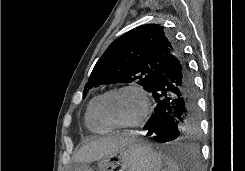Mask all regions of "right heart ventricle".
<instances>
[{
	"mask_svg": "<svg viewBox=\"0 0 245 171\" xmlns=\"http://www.w3.org/2000/svg\"><path fill=\"white\" fill-rule=\"evenodd\" d=\"M100 95L93 97L85 113V125L91 132L103 134L111 131L112 128L104 124L97 114V103Z\"/></svg>",
	"mask_w": 245,
	"mask_h": 171,
	"instance_id": "1",
	"label": "right heart ventricle"
}]
</instances>
